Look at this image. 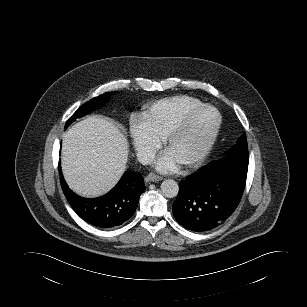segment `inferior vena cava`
<instances>
[{
    "mask_svg": "<svg viewBox=\"0 0 307 307\" xmlns=\"http://www.w3.org/2000/svg\"><path fill=\"white\" fill-rule=\"evenodd\" d=\"M138 161L142 164H151L154 161V154L151 152H139L137 154Z\"/></svg>",
    "mask_w": 307,
    "mask_h": 307,
    "instance_id": "602c4592",
    "label": "inferior vena cava"
}]
</instances>
